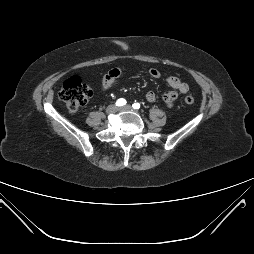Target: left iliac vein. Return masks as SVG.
Listing matches in <instances>:
<instances>
[{"label": "left iliac vein", "instance_id": "4c4485c4", "mask_svg": "<svg viewBox=\"0 0 254 254\" xmlns=\"http://www.w3.org/2000/svg\"><path fill=\"white\" fill-rule=\"evenodd\" d=\"M120 110H126V111H130L132 110V107L130 105H126V106H123L121 108H119Z\"/></svg>", "mask_w": 254, "mask_h": 254}]
</instances>
